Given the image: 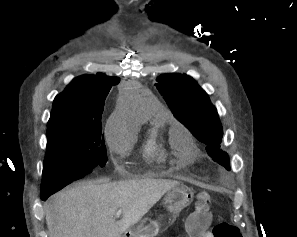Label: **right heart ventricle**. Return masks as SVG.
Masks as SVG:
<instances>
[{
	"label": "right heart ventricle",
	"mask_w": 297,
	"mask_h": 237,
	"mask_svg": "<svg viewBox=\"0 0 297 237\" xmlns=\"http://www.w3.org/2000/svg\"><path fill=\"white\" fill-rule=\"evenodd\" d=\"M143 158L148 162L160 163L167 157V147L165 142L159 138L155 131H150L143 146Z\"/></svg>",
	"instance_id": "obj_1"
}]
</instances>
